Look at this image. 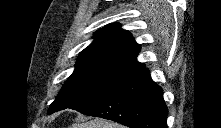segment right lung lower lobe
Instances as JSON below:
<instances>
[{"label": "right lung lower lobe", "instance_id": "obj_1", "mask_svg": "<svg viewBox=\"0 0 221 128\" xmlns=\"http://www.w3.org/2000/svg\"><path fill=\"white\" fill-rule=\"evenodd\" d=\"M71 109L130 128H167L168 109L163 91L145 67L100 97Z\"/></svg>", "mask_w": 221, "mask_h": 128}]
</instances>
